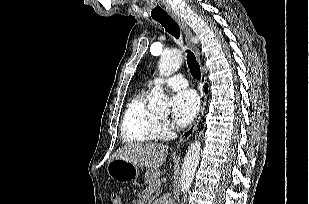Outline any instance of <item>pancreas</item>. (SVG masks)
<instances>
[{"label":"pancreas","instance_id":"obj_1","mask_svg":"<svg viewBox=\"0 0 309 204\" xmlns=\"http://www.w3.org/2000/svg\"><path fill=\"white\" fill-rule=\"evenodd\" d=\"M160 171L156 168H150L145 173V183L149 185L151 190L158 195L160 192Z\"/></svg>","mask_w":309,"mask_h":204}]
</instances>
